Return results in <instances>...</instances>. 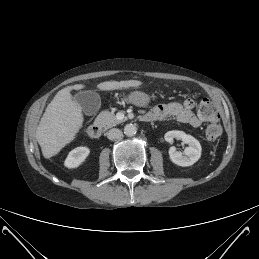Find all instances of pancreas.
Instances as JSON below:
<instances>
[{
    "label": "pancreas",
    "mask_w": 259,
    "mask_h": 259,
    "mask_svg": "<svg viewBox=\"0 0 259 259\" xmlns=\"http://www.w3.org/2000/svg\"><path fill=\"white\" fill-rule=\"evenodd\" d=\"M95 123L104 129H108L121 123V121L116 118L113 112L105 110L99 113L95 119Z\"/></svg>",
    "instance_id": "1"
}]
</instances>
